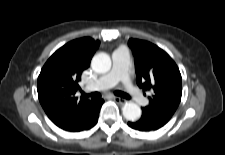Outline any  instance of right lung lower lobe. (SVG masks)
Instances as JSON below:
<instances>
[{
	"instance_id": "1",
	"label": "right lung lower lobe",
	"mask_w": 225,
	"mask_h": 155,
	"mask_svg": "<svg viewBox=\"0 0 225 155\" xmlns=\"http://www.w3.org/2000/svg\"><path fill=\"white\" fill-rule=\"evenodd\" d=\"M103 103V99L94 101L92 105L85 111L82 118L75 125L64 130L71 132H80L92 128L98 121L99 111Z\"/></svg>"
}]
</instances>
